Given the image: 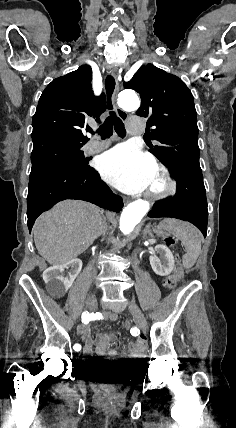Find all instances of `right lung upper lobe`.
Listing matches in <instances>:
<instances>
[{
	"label": "right lung upper lobe",
	"instance_id": "1",
	"mask_svg": "<svg viewBox=\"0 0 236 428\" xmlns=\"http://www.w3.org/2000/svg\"><path fill=\"white\" fill-rule=\"evenodd\" d=\"M92 69L82 65L77 70L54 79L43 91L33 116V146L56 140H84L87 119L105 111V95L95 97L91 84Z\"/></svg>",
	"mask_w": 236,
	"mask_h": 428
}]
</instances>
